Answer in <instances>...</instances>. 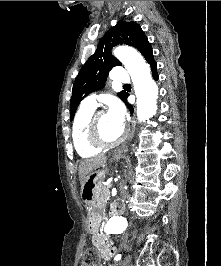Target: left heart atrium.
I'll list each match as a JSON object with an SVG mask.
<instances>
[{
  "label": "left heart atrium",
  "mask_w": 221,
  "mask_h": 266,
  "mask_svg": "<svg viewBox=\"0 0 221 266\" xmlns=\"http://www.w3.org/2000/svg\"><path fill=\"white\" fill-rule=\"evenodd\" d=\"M107 115L114 124L123 128L125 124L126 113L124 106L119 101L114 100L109 104Z\"/></svg>",
  "instance_id": "1"
}]
</instances>
